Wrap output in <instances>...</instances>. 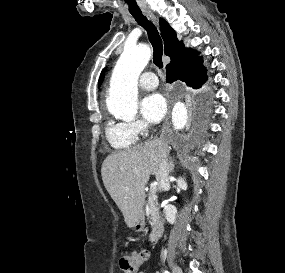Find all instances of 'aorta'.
I'll return each mask as SVG.
<instances>
[{"instance_id":"762f6f07","label":"aorta","mask_w":285,"mask_h":273,"mask_svg":"<svg viewBox=\"0 0 285 273\" xmlns=\"http://www.w3.org/2000/svg\"><path fill=\"white\" fill-rule=\"evenodd\" d=\"M150 57L151 51L147 45L140 44L124 48L114 67L106 98L107 108L114 116L123 119H132L136 116L138 78ZM186 121V107L179 102L173 109V125L176 129H181Z\"/></svg>"}]
</instances>
